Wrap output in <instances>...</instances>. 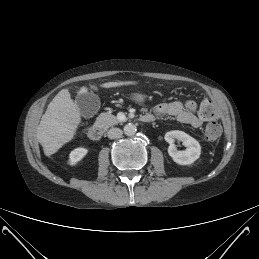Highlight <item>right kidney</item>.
<instances>
[{
    "label": "right kidney",
    "instance_id": "right-kidney-1",
    "mask_svg": "<svg viewBox=\"0 0 259 259\" xmlns=\"http://www.w3.org/2000/svg\"><path fill=\"white\" fill-rule=\"evenodd\" d=\"M87 153H88V150L83 147L74 149L69 154L68 163L72 166L76 165L79 161H81L86 156Z\"/></svg>",
    "mask_w": 259,
    "mask_h": 259
}]
</instances>
